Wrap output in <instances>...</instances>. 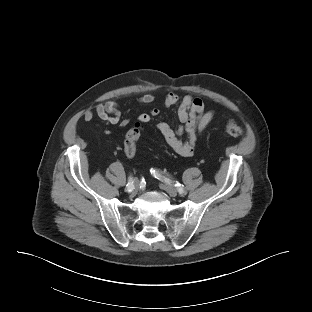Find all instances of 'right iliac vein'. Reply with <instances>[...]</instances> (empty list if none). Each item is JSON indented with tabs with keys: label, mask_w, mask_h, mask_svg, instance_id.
I'll return each instance as SVG.
<instances>
[{
	"label": "right iliac vein",
	"mask_w": 312,
	"mask_h": 312,
	"mask_svg": "<svg viewBox=\"0 0 312 312\" xmlns=\"http://www.w3.org/2000/svg\"><path fill=\"white\" fill-rule=\"evenodd\" d=\"M138 188H139V183H138L137 180H135V181H134V190H133V192H132V195L135 194V192L138 190Z\"/></svg>",
	"instance_id": "1"
}]
</instances>
